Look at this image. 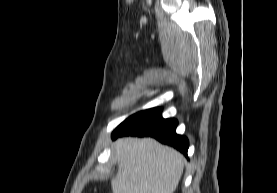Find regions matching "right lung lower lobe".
Masks as SVG:
<instances>
[{
	"mask_svg": "<svg viewBox=\"0 0 277 193\" xmlns=\"http://www.w3.org/2000/svg\"><path fill=\"white\" fill-rule=\"evenodd\" d=\"M177 121L163 119L160 108L140 111L122 122L112 133V138L120 136H152L187 155L189 142L186 137L176 134Z\"/></svg>",
	"mask_w": 277,
	"mask_h": 193,
	"instance_id": "obj_1",
	"label": "right lung lower lobe"
}]
</instances>
